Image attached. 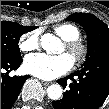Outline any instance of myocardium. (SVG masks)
Segmentation results:
<instances>
[{"label":"myocardium","instance_id":"myocardium-1","mask_svg":"<svg viewBox=\"0 0 109 109\" xmlns=\"http://www.w3.org/2000/svg\"><path fill=\"white\" fill-rule=\"evenodd\" d=\"M65 48L70 54L75 66H81L84 64L88 56V47L82 40L78 38L66 41Z\"/></svg>","mask_w":109,"mask_h":109}]
</instances>
